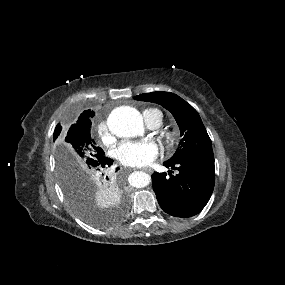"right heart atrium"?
Masks as SVG:
<instances>
[{
	"label": "right heart atrium",
	"mask_w": 285,
	"mask_h": 285,
	"mask_svg": "<svg viewBox=\"0 0 285 285\" xmlns=\"http://www.w3.org/2000/svg\"><path fill=\"white\" fill-rule=\"evenodd\" d=\"M97 131L104 143L111 140V133L106 119H103L98 123Z\"/></svg>",
	"instance_id": "right-heart-atrium-1"
}]
</instances>
